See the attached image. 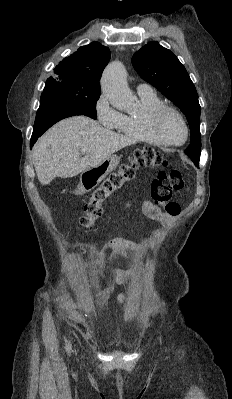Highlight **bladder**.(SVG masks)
I'll list each match as a JSON object with an SVG mask.
<instances>
[{"label": "bladder", "instance_id": "1", "mask_svg": "<svg viewBox=\"0 0 232 399\" xmlns=\"http://www.w3.org/2000/svg\"><path fill=\"white\" fill-rule=\"evenodd\" d=\"M113 347L120 348V347H122V346H121L120 344H114Z\"/></svg>", "mask_w": 232, "mask_h": 399}]
</instances>
